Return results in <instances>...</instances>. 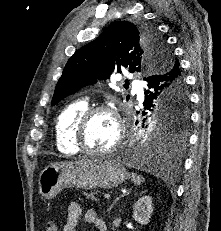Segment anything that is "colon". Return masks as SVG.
<instances>
[{"mask_svg": "<svg viewBox=\"0 0 221 231\" xmlns=\"http://www.w3.org/2000/svg\"><path fill=\"white\" fill-rule=\"evenodd\" d=\"M46 231H59L58 224L55 221H49L46 225Z\"/></svg>", "mask_w": 221, "mask_h": 231, "instance_id": "colon-1", "label": "colon"}]
</instances>
